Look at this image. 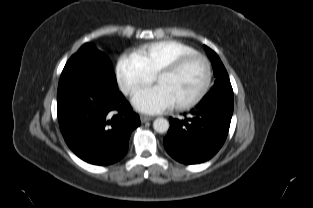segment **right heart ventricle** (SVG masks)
I'll use <instances>...</instances> for the list:
<instances>
[{"label":"right heart ventricle","instance_id":"1","mask_svg":"<svg viewBox=\"0 0 313 208\" xmlns=\"http://www.w3.org/2000/svg\"><path fill=\"white\" fill-rule=\"evenodd\" d=\"M196 52L195 48L181 41L162 40L140 47L136 50L135 55L155 75L160 68L171 63L176 58Z\"/></svg>","mask_w":313,"mask_h":208}]
</instances>
